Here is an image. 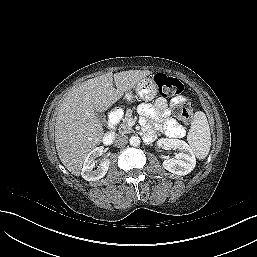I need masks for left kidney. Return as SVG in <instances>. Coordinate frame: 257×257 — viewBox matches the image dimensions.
<instances>
[{
  "mask_svg": "<svg viewBox=\"0 0 257 257\" xmlns=\"http://www.w3.org/2000/svg\"><path fill=\"white\" fill-rule=\"evenodd\" d=\"M157 145L165 150L179 151L174 158L166 157L163 161V167L169 172L176 175H187L195 168L196 158L185 141L162 138L157 141Z\"/></svg>",
  "mask_w": 257,
  "mask_h": 257,
  "instance_id": "5707ae66",
  "label": "left kidney"
}]
</instances>
